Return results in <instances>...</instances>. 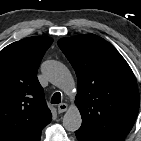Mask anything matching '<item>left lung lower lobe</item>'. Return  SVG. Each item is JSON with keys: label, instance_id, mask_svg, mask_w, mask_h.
I'll return each instance as SVG.
<instances>
[{"label": "left lung lower lobe", "instance_id": "1", "mask_svg": "<svg viewBox=\"0 0 141 141\" xmlns=\"http://www.w3.org/2000/svg\"><path fill=\"white\" fill-rule=\"evenodd\" d=\"M75 134L79 141H103V140L90 136L89 134H87L86 132L80 129L75 131Z\"/></svg>", "mask_w": 141, "mask_h": 141}]
</instances>
